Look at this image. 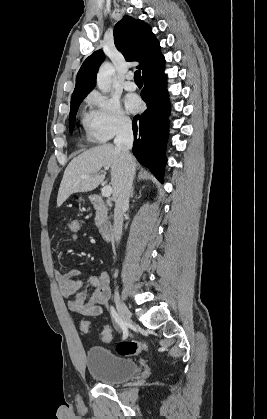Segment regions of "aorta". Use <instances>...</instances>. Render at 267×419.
<instances>
[{"label":"aorta","instance_id":"aorta-1","mask_svg":"<svg viewBox=\"0 0 267 419\" xmlns=\"http://www.w3.org/2000/svg\"><path fill=\"white\" fill-rule=\"evenodd\" d=\"M114 74V67L111 63L105 62L99 68L97 74V86L103 93H108L111 89L112 75Z\"/></svg>","mask_w":267,"mask_h":419}]
</instances>
